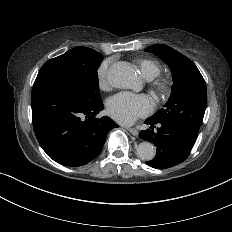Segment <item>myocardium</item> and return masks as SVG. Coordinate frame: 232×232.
Listing matches in <instances>:
<instances>
[{"label":"myocardium","mask_w":232,"mask_h":232,"mask_svg":"<svg viewBox=\"0 0 232 232\" xmlns=\"http://www.w3.org/2000/svg\"><path fill=\"white\" fill-rule=\"evenodd\" d=\"M149 89L156 100H164L170 92V83L166 79H158L150 83Z\"/></svg>","instance_id":"1"}]
</instances>
